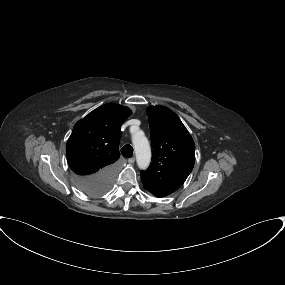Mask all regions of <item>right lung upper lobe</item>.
I'll list each match as a JSON object with an SVG mask.
<instances>
[{"label":"right lung upper lobe","mask_w":285,"mask_h":285,"mask_svg":"<svg viewBox=\"0 0 285 285\" xmlns=\"http://www.w3.org/2000/svg\"><path fill=\"white\" fill-rule=\"evenodd\" d=\"M131 114L128 107L108 103L74 125L66 154L75 174H95L119 159L121 125Z\"/></svg>","instance_id":"right-lung-upper-lobe-1"}]
</instances>
